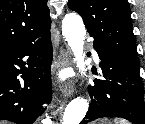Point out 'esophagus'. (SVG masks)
Here are the masks:
<instances>
[{
    "label": "esophagus",
    "mask_w": 145,
    "mask_h": 124,
    "mask_svg": "<svg viewBox=\"0 0 145 124\" xmlns=\"http://www.w3.org/2000/svg\"><path fill=\"white\" fill-rule=\"evenodd\" d=\"M55 63H56V68L58 70L69 66L70 64L69 52L66 51L65 49H61ZM59 88H60L61 93L65 97H70L74 93L75 84L72 79H69L66 83H61L59 85Z\"/></svg>",
    "instance_id": "34e87169"
}]
</instances>
